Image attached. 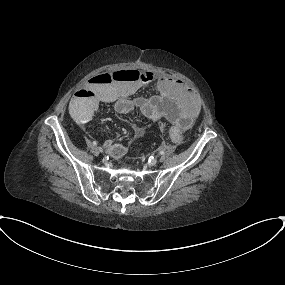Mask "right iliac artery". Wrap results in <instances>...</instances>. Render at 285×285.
Listing matches in <instances>:
<instances>
[{
    "label": "right iliac artery",
    "mask_w": 285,
    "mask_h": 285,
    "mask_svg": "<svg viewBox=\"0 0 285 285\" xmlns=\"http://www.w3.org/2000/svg\"><path fill=\"white\" fill-rule=\"evenodd\" d=\"M92 143H93L94 146H97V145H98V142L95 141V140H94Z\"/></svg>",
    "instance_id": "obj_1"
}]
</instances>
